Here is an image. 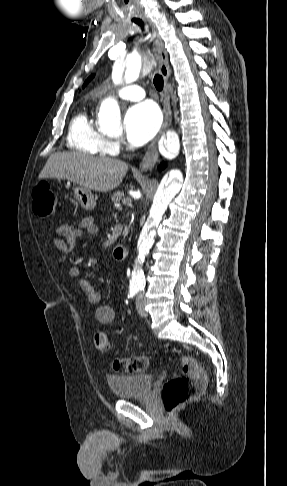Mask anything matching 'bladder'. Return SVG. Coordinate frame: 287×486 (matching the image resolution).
Wrapping results in <instances>:
<instances>
[{
	"instance_id": "bladder-1",
	"label": "bladder",
	"mask_w": 287,
	"mask_h": 486,
	"mask_svg": "<svg viewBox=\"0 0 287 486\" xmlns=\"http://www.w3.org/2000/svg\"><path fill=\"white\" fill-rule=\"evenodd\" d=\"M112 393L119 399H129L147 395L153 386L151 374L111 375L106 378Z\"/></svg>"
}]
</instances>
